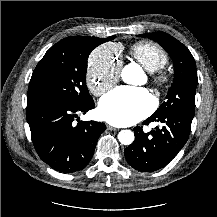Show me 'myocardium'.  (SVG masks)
Instances as JSON below:
<instances>
[{
    "label": "myocardium",
    "instance_id": "myocardium-1",
    "mask_svg": "<svg viewBox=\"0 0 217 217\" xmlns=\"http://www.w3.org/2000/svg\"><path fill=\"white\" fill-rule=\"evenodd\" d=\"M153 81L157 87H166L170 83V77L163 71L153 74Z\"/></svg>",
    "mask_w": 217,
    "mask_h": 217
}]
</instances>
